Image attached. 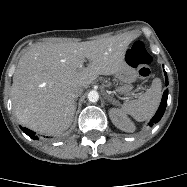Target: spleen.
Segmentation results:
<instances>
[{
  "mask_svg": "<svg viewBox=\"0 0 187 187\" xmlns=\"http://www.w3.org/2000/svg\"><path fill=\"white\" fill-rule=\"evenodd\" d=\"M162 97V83L155 78L151 87L137 100L125 102L121 111L132 116L136 121L149 119L156 112Z\"/></svg>",
  "mask_w": 187,
  "mask_h": 187,
  "instance_id": "spleen-1",
  "label": "spleen"
}]
</instances>
